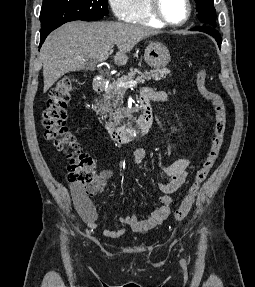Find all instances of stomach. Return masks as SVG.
<instances>
[{
    "mask_svg": "<svg viewBox=\"0 0 255 287\" xmlns=\"http://www.w3.org/2000/svg\"><path fill=\"white\" fill-rule=\"evenodd\" d=\"M144 60L151 68H164L170 62L169 50L161 42H149L145 48Z\"/></svg>",
    "mask_w": 255,
    "mask_h": 287,
    "instance_id": "obj_1",
    "label": "stomach"
}]
</instances>
